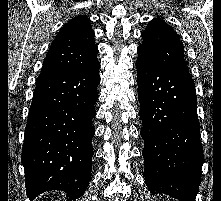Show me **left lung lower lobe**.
Here are the masks:
<instances>
[{"label":"left lung lower lobe","instance_id":"1","mask_svg":"<svg viewBox=\"0 0 221 201\" xmlns=\"http://www.w3.org/2000/svg\"><path fill=\"white\" fill-rule=\"evenodd\" d=\"M145 183L153 194L195 201L204 161L191 77L136 61Z\"/></svg>","mask_w":221,"mask_h":201}]
</instances>
